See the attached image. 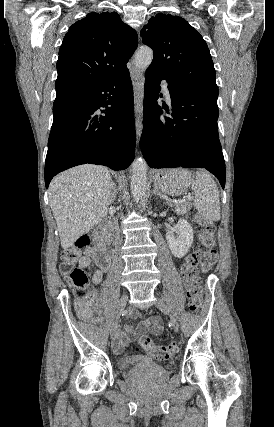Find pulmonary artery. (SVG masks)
I'll list each match as a JSON object with an SVG mask.
<instances>
[{
    "label": "pulmonary artery",
    "mask_w": 274,
    "mask_h": 427,
    "mask_svg": "<svg viewBox=\"0 0 274 427\" xmlns=\"http://www.w3.org/2000/svg\"><path fill=\"white\" fill-rule=\"evenodd\" d=\"M162 91H163V94H164V96H165L166 101H167L168 103H170V102H171V95H170V91H169V89H168L167 84H163V85H162Z\"/></svg>",
    "instance_id": "e3ab8cb5"
}]
</instances>
